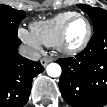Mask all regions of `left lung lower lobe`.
Wrapping results in <instances>:
<instances>
[{
	"label": "left lung lower lobe",
	"instance_id": "obj_1",
	"mask_svg": "<svg viewBox=\"0 0 107 107\" xmlns=\"http://www.w3.org/2000/svg\"><path fill=\"white\" fill-rule=\"evenodd\" d=\"M62 74L59 88L72 107L107 104V25L94 31L87 47L75 58L57 61Z\"/></svg>",
	"mask_w": 107,
	"mask_h": 107
}]
</instances>
